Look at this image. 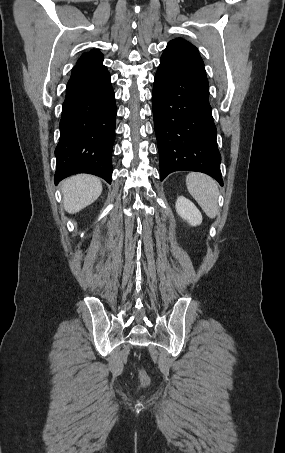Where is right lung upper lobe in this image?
Wrapping results in <instances>:
<instances>
[{
	"label": "right lung upper lobe",
	"instance_id": "cb5924a9",
	"mask_svg": "<svg viewBox=\"0 0 285 453\" xmlns=\"http://www.w3.org/2000/svg\"><path fill=\"white\" fill-rule=\"evenodd\" d=\"M103 62V54L94 49L91 50L87 53L82 54V56L79 58L76 64L79 65H84V66H91V65H97V64H102Z\"/></svg>",
	"mask_w": 285,
	"mask_h": 453
}]
</instances>
